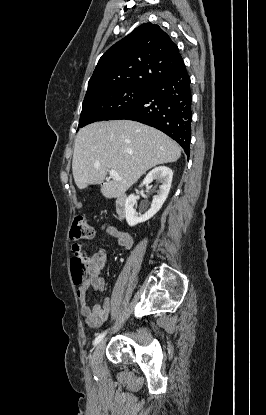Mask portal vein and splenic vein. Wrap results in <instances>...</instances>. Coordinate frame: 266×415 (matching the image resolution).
Listing matches in <instances>:
<instances>
[{
	"label": "portal vein and splenic vein",
	"mask_w": 266,
	"mask_h": 415,
	"mask_svg": "<svg viewBox=\"0 0 266 415\" xmlns=\"http://www.w3.org/2000/svg\"><path fill=\"white\" fill-rule=\"evenodd\" d=\"M109 175L112 178H115L116 180H122V178L118 175L117 171H115L114 169H111L109 171Z\"/></svg>",
	"instance_id": "18ae733b"
}]
</instances>
